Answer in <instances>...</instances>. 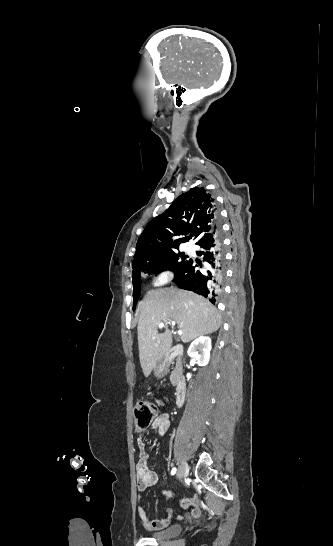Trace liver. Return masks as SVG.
I'll list each match as a JSON object with an SVG mask.
<instances>
[{
  "instance_id": "liver-1",
  "label": "liver",
  "mask_w": 333,
  "mask_h": 546,
  "mask_svg": "<svg viewBox=\"0 0 333 546\" xmlns=\"http://www.w3.org/2000/svg\"><path fill=\"white\" fill-rule=\"evenodd\" d=\"M138 347L140 364L148 377L159 360L172 345L168 324L176 322L182 331L183 343L216 332L221 325V314L204 297L174 287L149 291L139 305ZM164 321L165 332L158 333V324Z\"/></svg>"
}]
</instances>
